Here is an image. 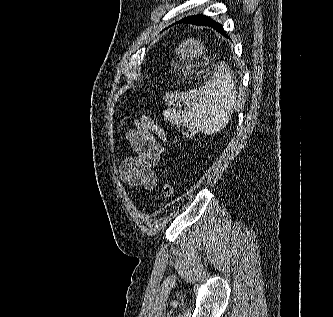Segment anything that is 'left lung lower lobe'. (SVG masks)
Segmentation results:
<instances>
[{
	"label": "left lung lower lobe",
	"instance_id": "0a47b994",
	"mask_svg": "<svg viewBox=\"0 0 333 317\" xmlns=\"http://www.w3.org/2000/svg\"><path fill=\"white\" fill-rule=\"evenodd\" d=\"M176 23H190V24L198 25V26H208V27L215 29L217 32L221 33L223 36L229 38V36L224 31L222 24L214 21L210 17L203 15V14L188 16Z\"/></svg>",
	"mask_w": 333,
	"mask_h": 317
}]
</instances>
